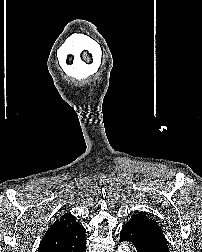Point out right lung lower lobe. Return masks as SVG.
Masks as SVG:
<instances>
[{
	"mask_svg": "<svg viewBox=\"0 0 202 252\" xmlns=\"http://www.w3.org/2000/svg\"><path fill=\"white\" fill-rule=\"evenodd\" d=\"M82 252H86V243H85V248H84V250Z\"/></svg>",
	"mask_w": 202,
	"mask_h": 252,
	"instance_id": "obj_1",
	"label": "right lung lower lobe"
}]
</instances>
